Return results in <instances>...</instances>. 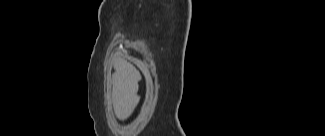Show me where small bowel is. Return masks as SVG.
<instances>
[{"label":"small bowel","instance_id":"c3829d8e","mask_svg":"<svg viewBox=\"0 0 325 136\" xmlns=\"http://www.w3.org/2000/svg\"><path fill=\"white\" fill-rule=\"evenodd\" d=\"M122 75L117 76L114 103L120 118L124 119L139 100V77L120 65Z\"/></svg>","mask_w":325,"mask_h":136}]
</instances>
